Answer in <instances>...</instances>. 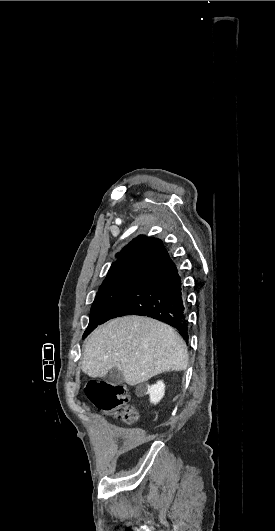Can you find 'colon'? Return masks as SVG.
Masks as SVG:
<instances>
[{
	"label": "colon",
	"instance_id": "1",
	"mask_svg": "<svg viewBox=\"0 0 275 531\" xmlns=\"http://www.w3.org/2000/svg\"><path fill=\"white\" fill-rule=\"evenodd\" d=\"M93 406L101 413L114 416L125 424H133L138 411L130 405L128 388L114 381L91 380L85 389Z\"/></svg>",
	"mask_w": 275,
	"mask_h": 531
}]
</instances>
